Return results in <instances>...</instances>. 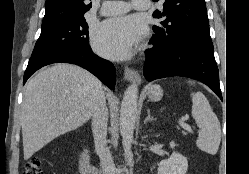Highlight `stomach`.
I'll return each instance as SVG.
<instances>
[{
    "instance_id": "1",
    "label": "stomach",
    "mask_w": 249,
    "mask_h": 174,
    "mask_svg": "<svg viewBox=\"0 0 249 174\" xmlns=\"http://www.w3.org/2000/svg\"><path fill=\"white\" fill-rule=\"evenodd\" d=\"M147 95L151 101H160L163 97V90L159 85H149L147 87Z\"/></svg>"
}]
</instances>
